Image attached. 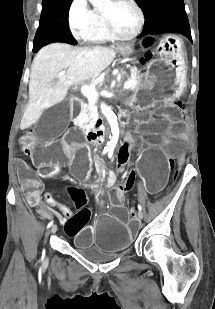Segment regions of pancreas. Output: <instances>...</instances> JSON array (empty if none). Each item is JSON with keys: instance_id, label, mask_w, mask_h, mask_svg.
<instances>
[{"instance_id": "1", "label": "pancreas", "mask_w": 215, "mask_h": 309, "mask_svg": "<svg viewBox=\"0 0 215 309\" xmlns=\"http://www.w3.org/2000/svg\"><path fill=\"white\" fill-rule=\"evenodd\" d=\"M130 74H133V76H130L131 80H136V82H140L142 80V76H140V70H137V68H131ZM99 84H102V82H99ZM98 106L96 104V100H89L87 104V108H83V126H87V124H90L92 118H96L98 116Z\"/></svg>"}]
</instances>
